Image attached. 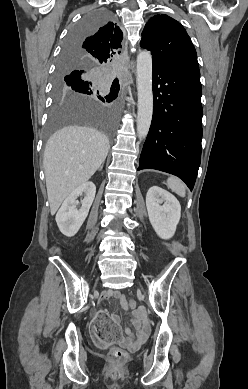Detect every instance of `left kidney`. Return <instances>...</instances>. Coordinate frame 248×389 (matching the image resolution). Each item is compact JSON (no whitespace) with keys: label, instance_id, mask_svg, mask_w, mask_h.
Instances as JSON below:
<instances>
[{"label":"left kidney","instance_id":"5707ae66","mask_svg":"<svg viewBox=\"0 0 248 389\" xmlns=\"http://www.w3.org/2000/svg\"><path fill=\"white\" fill-rule=\"evenodd\" d=\"M150 223L162 239H170L181 217V206L175 196L158 186H152L146 195Z\"/></svg>","mask_w":248,"mask_h":389}]
</instances>
